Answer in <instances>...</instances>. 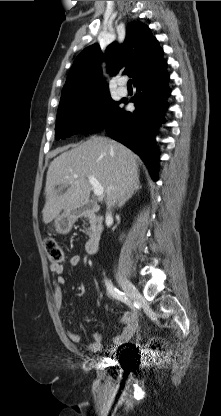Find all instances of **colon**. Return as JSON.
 Instances as JSON below:
<instances>
[{
    "label": "colon",
    "instance_id": "colon-1",
    "mask_svg": "<svg viewBox=\"0 0 221 416\" xmlns=\"http://www.w3.org/2000/svg\"><path fill=\"white\" fill-rule=\"evenodd\" d=\"M44 246L48 255V259L53 264H60L64 259V253L60 245L54 239H46ZM156 344L154 347H159Z\"/></svg>",
    "mask_w": 221,
    "mask_h": 416
}]
</instances>
